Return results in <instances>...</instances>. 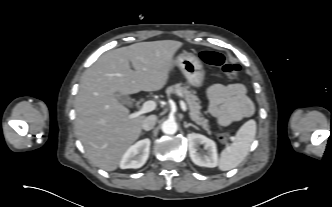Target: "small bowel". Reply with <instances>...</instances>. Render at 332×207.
I'll return each mask as SVG.
<instances>
[{
  "mask_svg": "<svg viewBox=\"0 0 332 207\" xmlns=\"http://www.w3.org/2000/svg\"><path fill=\"white\" fill-rule=\"evenodd\" d=\"M209 112L221 126L246 119L254 112V105L241 84L217 83L208 89Z\"/></svg>",
  "mask_w": 332,
  "mask_h": 207,
  "instance_id": "obj_1",
  "label": "small bowel"
}]
</instances>
